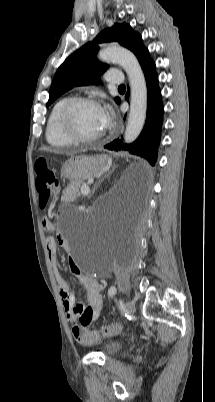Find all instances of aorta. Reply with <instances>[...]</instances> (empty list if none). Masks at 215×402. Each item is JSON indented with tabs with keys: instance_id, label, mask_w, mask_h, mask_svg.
<instances>
[{
	"instance_id": "1",
	"label": "aorta",
	"mask_w": 215,
	"mask_h": 402,
	"mask_svg": "<svg viewBox=\"0 0 215 402\" xmlns=\"http://www.w3.org/2000/svg\"><path fill=\"white\" fill-rule=\"evenodd\" d=\"M98 58L101 61L119 64L128 76L131 102L124 141L132 143L140 135L146 120L147 86L143 71L134 54L121 47L102 49Z\"/></svg>"
}]
</instances>
